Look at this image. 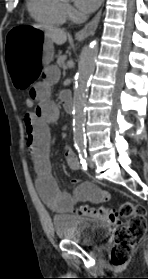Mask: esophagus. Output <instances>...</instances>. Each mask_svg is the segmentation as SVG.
I'll list each match as a JSON object with an SVG mask.
<instances>
[{
    "label": "esophagus",
    "instance_id": "obj_1",
    "mask_svg": "<svg viewBox=\"0 0 148 279\" xmlns=\"http://www.w3.org/2000/svg\"><path fill=\"white\" fill-rule=\"evenodd\" d=\"M101 13L102 8L89 23H87L80 31L76 33V38L78 40H83L95 32L100 21Z\"/></svg>",
    "mask_w": 148,
    "mask_h": 279
}]
</instances>
